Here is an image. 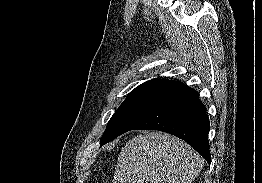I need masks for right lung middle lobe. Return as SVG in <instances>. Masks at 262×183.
<instances>
[{
  "label": "right lung middle lobe",
  "instance_id": "1",
  "mask_svg": "<svg viewBox=\"0 0 262 183\" xmlns=\"http://www.w3.org/2000/svg\"><path fill=\"white\" fill-rule=\"evenodd\" d=\"M157 92H131L109 120L100 140L104 145L121 135L125 127L146 107Z\"/></svg>",
  "mask_w": 262,
  "mask_h": 183
}]
</instances>
